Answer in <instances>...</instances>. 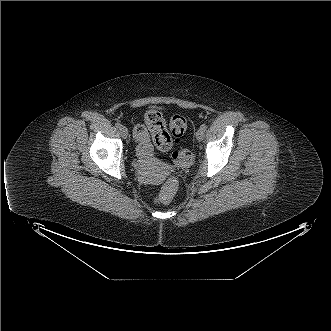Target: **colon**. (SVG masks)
Segmentation results:
<instances>
[{
  "label": "colon",
  "instance_id": "obj_1",
  "mask_svg": "<svg viewBox=\"0 0 331 331\" xmlns=\"http://www.w3.org/2000/svg\"><path fill=\"white\" fill-rule=\"evenodd\" d=\"M144 122L145 125H138L135 128V133L142 141H145L149 130L155 146L162 152L169 151L173 142H178L187 129V119L183 114H174L171 117L169 122L171 133L167 130L163 116L156 110L147 111L144 115ZM172 157L180 166H188L192 162V154L188 150L176 151ZM176 188V180L169 178L156 196V203H169L173 198Z\"/></svg>",
  "mask_w": 331,
  "mask_h": 331
}]
</instances>
